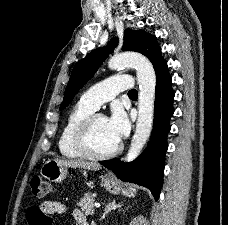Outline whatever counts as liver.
Listing matches in <instances>:
<instances>
[{
	"label": "liver",
	"mask_w": 228,
	"mask_h": 225,
	"mask_svg": "<svg viewBox=\"0 0 228 225\" xmlns=\"http://www.w3.org/2000/svg\"><path fill=\"white\" fill-rule=\"evenodd\" d=\"M63 165H68L72 169H89V171H94L96 167H100L97 163H81V161H59Z\"/></svg>",
	"instance_id": "6515ba94"
}]
</instances>
